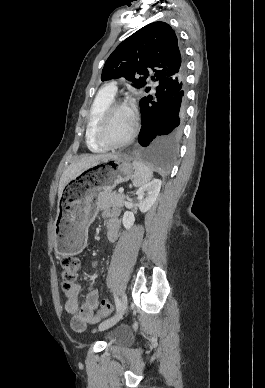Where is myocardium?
<instances>
[{
    "label": "myocardium",
    "mask_w": 265,
    "mask_h": 388,
    "mask_svg": "<svg viewBox=\"0 0 265 388\" xmlns=\"http://www.w3.org/2000/svg\"><path fill=\"white\" fill-rule=\"evenodd\" d=\"M106 91H114V90H106ZM98 96H99V94H98ZM116 109H127V107L122 103L112 102V103L108 104L101 111V113L99 114V116L96 120L95 128H94V136H95L96 141L102 146L110 147V148L123 147V146L127 145L132 139H134V137L137 134V126L132 121L131 128H130L129 132L126 134L125 137H123L122 139H120L118 141H109L102 135V127H103V124L105 122L107 115Z\"/></svg>",
    "instance_id": "1"
}]
</instances>
